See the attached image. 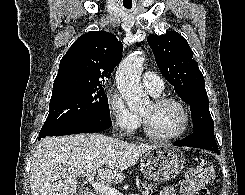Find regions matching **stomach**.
I'll list each match as a JSON object with an SVG mask.
<instances>
[{"label":"stomach","instance_id":"obj_1","mask_svg":"<svg viewBox=\"0 0 245 195\" xmlns=\"http://www.w3.org/2000/svg\"><path fill=\"white\" fill-rule=\"evenodd\" d=\"M182 152L170 145H159L147 151L141 158L140 170L144 177L155 182L169 181L184 168Z\"/></svg>","mask_w":245,"mask_h":195}]
</instances>
